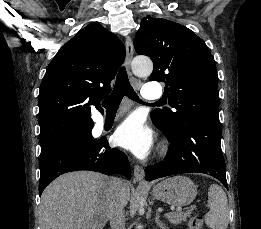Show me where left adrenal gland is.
I'll return each instance as SVG.
<instances>
[{"instance_id": "a2214340", "label": "left adrenal gland", "mask_w": 261, "mask_h": 229, "mask_svg": "<svg viewBox=\"0 0 261 229\" xmlns=\"http://www.w3.org/2000/svg\"><path fill=\"white\" fill-rule=\"evenodd\" d=\"M156 223L159 227V229H169V227H166L165 223H162L159 219V213H156Z\"/></svg>"}]
</instances>
